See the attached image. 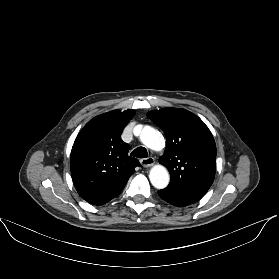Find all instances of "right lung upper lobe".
<instances>
[{
  "mask_svg": "<svg viewBox=\"0 0 279 279\" xmlns=\"http://www.w3.org/2000/svg\"><path fill=\"white\" fill-rule=\"evenodd\" d=\"M134 115L132 109L101 114L76 137L71 151V175L78 194L87 202L102 205L115 198L140 165L128 155L130 146L121 139L124 127Z\"/></svg>",
  "mask_w": 279,
  "mask_h": 279,
  "instance_id": "obj_1",
  "label": "right lung upper lobe"
}]
</instances>
